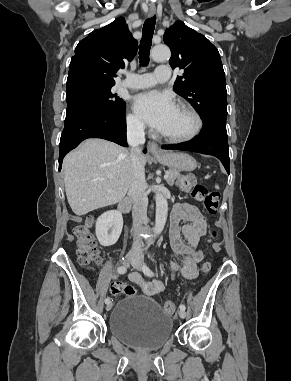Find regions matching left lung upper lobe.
I'll return each mask as SVG.
<instances>
[{"mask_svg":"<svg viewBox=\"0 0 291 381\" xmlns=\"http://www.w3.org/2000/svg\"><path fill=\"white\" fill-rule=\"evenodd\" d=\"M163 40L171 49L170 66L184 70L174 84V91L191 103L203 123L226 122V81L217 48L182 21L167 29Z\"/></svg>","mask_w":291,"mask_h":381,"instance_id":"obj_1","label":"left lung upper lobe"}]
</instances>
